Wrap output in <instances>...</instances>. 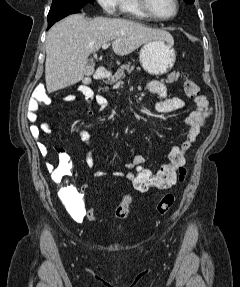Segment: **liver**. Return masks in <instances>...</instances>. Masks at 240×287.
Returning <instances> with one entry per match:
<instances>
[{"label":"liver","mask_w":240,"mask_h":287,"mask_svg":"<svg viewBox=\"0 0 240 287\" xmlns=\"http://www.w3.org/2000/svg\"><path fill=\"white\" fill-rule=\"evenodd\" d=\"M155 39L173 40V37L165 30L127 19L96 17L87 20L81 14L70 15L47 33V92L52 93L83 80L89 55L103 44L111 41L114 53L124 56Z\"/></svg>","instance_id":"1"}]
</instances>
